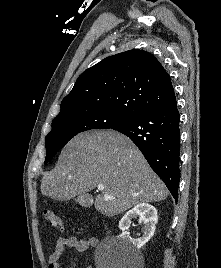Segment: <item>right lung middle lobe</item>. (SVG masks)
Listing matches in <instances>:
<instances>
[{"label": "right lung middle lobe", "mask_w": 221, "mask_h": 268, "mask_svg": "<svg viewBox=\"0 0 221 268\" xmlns=\"http://www.w3.org/2000/svg\"><path fill=\"white\" fill-rule=\"evenodd\" d=\"M128 116L105 109L57 115L47 135L45 164L77 134L91 129H110L129 121Z\"/></svg>", "instance_id": "1"}]
</instances>
